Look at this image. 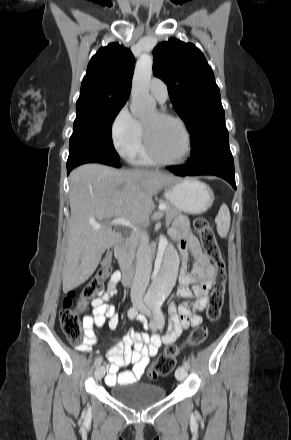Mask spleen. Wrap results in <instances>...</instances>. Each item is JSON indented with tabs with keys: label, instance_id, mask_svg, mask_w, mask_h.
<instances>
[{
	"label": "spleen",
	"instance_id": "3e777b00",
	"mask_svg": "<svg viewBox=\"0 0 291 440\" xmlns=\"http://www.w3.org/2000/svg\"><path fill=\"white\" fill-rule=\"evenodd\" d=\"M231 216L228 206L224 203L221 205L218 215L215 218L217 232L221 238H225L230 228Z\"/></svg>",
	"mask_w": 291,
	"mask_h": 440
}]
</instances>
